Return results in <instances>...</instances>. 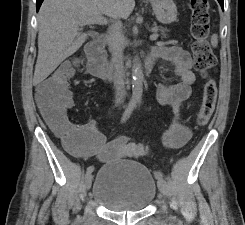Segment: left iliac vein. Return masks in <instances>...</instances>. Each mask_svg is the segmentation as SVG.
I'll return each mask as SVG.
<instances>
[{"label":"left iliac vein","mask_w":245,"mask_h":225,"mask_svg":"<svg viewBox=\"0 0 245 225\" xmlns=\"http://www.w3.org/2000/svg\"><path fill=\"white\" fill-rule=\"evenodd\" d=\"M157 185H158L159 191L163 195H166V192H167V183H166V181L162 178V179L158 180Z\"/></svg>","instance_id":"left-iliac-vein-1"}]
</instances>
